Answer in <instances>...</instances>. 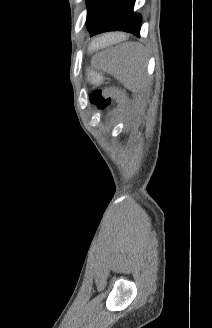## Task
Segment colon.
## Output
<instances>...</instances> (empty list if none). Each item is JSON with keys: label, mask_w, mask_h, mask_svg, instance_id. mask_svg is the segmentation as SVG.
Segmentation results:
<instances>
[{"label": "colon", "mask_w": 212, "mask_h": 328, "mask_svg": "<svg viewBox=\"0 0 212 328\" xmlns=\"http://www.w3.org/2000/svg\"><path fill=\"white\" fill-rule=\"evenodd\" d=\"M90 102L99 111H104L112 102H121L124 99L123 92L118 88H108L104 90H95L90 94Z\"/></svg>", "instance_id": "1"}]
</instances>
